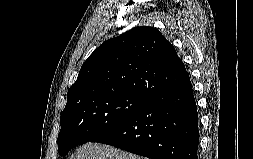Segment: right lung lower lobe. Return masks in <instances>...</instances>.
<instances>
[{
    "label": "right lung lower lobe",
    "instance_id": "98d812e1",
    "mask_svg": "<svg viewBox=\"0 0 253 159\" xmlns=\"http://www.w3.org/2000/svg\"><path fill=\"white\" fill-rule=\"evenodd\" d=\"M91 142L151 159H197L198 113L190 78L147 99L123 123Z\"/></svg>",
    "mask_w": 253,
    "mask_h": 159
}]
</instances>
